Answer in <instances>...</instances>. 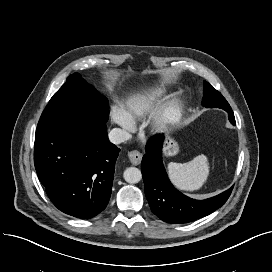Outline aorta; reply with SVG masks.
Segmentation results:
<instances>
[{
	"instance_id": "aorta-1",
	"label": "aorta",
	"mask_w": 272,
	"mask_h": 272,
	"mask_svg": "<svg viewBox=\"0 0 272 272\" xmlns=\"http://www.w3.org/2000/svg\"><path fill=\"white\" fill-rule=\"evenodd\" d=\"M123 177L130 184L138 183L142 179L141 171L136 167H129L124 171Z\"/></svg>"
}]
</instances>
